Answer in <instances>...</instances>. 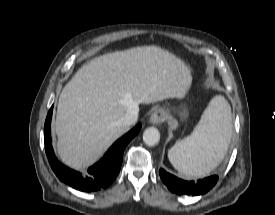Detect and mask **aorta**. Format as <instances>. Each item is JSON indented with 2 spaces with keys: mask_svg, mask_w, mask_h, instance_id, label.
Wrapping results in <instances>:
<instances>
[{
  "mask_svg": "<svg viewBox=\"0 0 275 215\" xmlns=\"http://www.w3.org/2000/svg\"><path fill=\"white\" fill-rule=\"evenodd\" d=\"M143 141L148 146L157 145L160 141L159 130L155 127H149L143 132Z\"/></svg>",
  "mask_w": 275,
  "mask_h": 215,
  "instance_id": "762f6f07",
  "label": "aorta"
}]
</instances>
